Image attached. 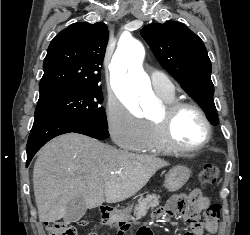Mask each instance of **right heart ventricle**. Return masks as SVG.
Here are the masks:
<instances>
[{"mask_svg":"<svg viewBox=\"0 0 250 235\" xmlns=\"http://www.w3.org/2000/svg\"><path fill=\"white\" fill-rule=\"evenodd\" d=\"M166 104L171 103L174 100V95L172 96H160L158 95ZM144 153H166L170 152L169 149L161 140L159 130L153 122L147 123V136L143 146L138 150Z\"/></svg>","mask_w":250,"mask_h":235,"instance_id":"obj_1","label":"right heart ventricle"}]
</instances>
